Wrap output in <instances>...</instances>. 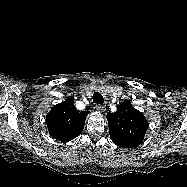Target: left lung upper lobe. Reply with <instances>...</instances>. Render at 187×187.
Segmentation results:
<instances>
[{
	"instance_id": "obj_1",
	"label": "left lung upper lobe",
	"mask_w": 187,
	"mask_h": 187,
	"mask_svg": "<svg viewBox=\"0 0 187 187\" xmlns=\"http://www.w3.org/2000/svg\"><path fill=\"white\" fill-rule=\"evenodd\" d=\"M106 117L110 138L117 146L133 148L143 142L148 122L130 101H124L115 113H108Z\"/></svg>"
}]
</instances>
